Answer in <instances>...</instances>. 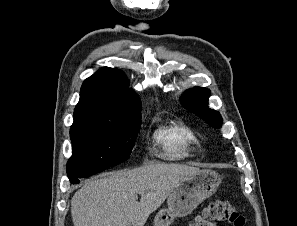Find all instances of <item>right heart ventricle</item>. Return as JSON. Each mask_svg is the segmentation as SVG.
I'll return each mask as SVG.
<instances>
[{
  "label": "right heart ventricle",
  "instance_id": "obj_1",
  "mask_svg": "<svg viewBox=\"0 0 297 226\" xmlns=\"http://www.w3.org/2000/svg\"><path fill=\"white\" fill-rule=\"evenodd\" d=\"M156 139L162 144L167 159L179 160L192 156L197 137L184 126L159 129Z\"/></svg>",
  "mask_w": 297,
  "mask_h": 226
}]
</instances>
